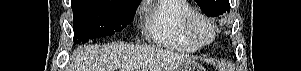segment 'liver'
<instances>
[{"instance_id": "obj_1", "label": "liver", "mask_w": 301, "mask_h": 71, "mask_svg": "<svg viewBox=\"0 0 301 71\" xmlns=\"http://www.w3.org/2000/svg\"><path fill=\"white\" fill-rule=\"evenodd\" d=\"M188 56L154 46L112 42L78 48L72 55V71H174Z\"/></svg>"}]
</instances>
